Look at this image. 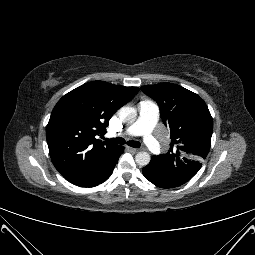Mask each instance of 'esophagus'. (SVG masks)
<instances>
[{
    "instance_id": "esophagus-1",
    "label": "esophagus",
    "mask_w": 255,
    "mask_h": 255,
    "mask_svg": "<svg viewBox=\"0 0 255 255\" xmlns=\"http://www.w3.org/2000/svg\"><path fill=\"white\" fill-rule=\"evenodd\" d=\"M127 150L130 151L131 153H137L139 149L132 148V147H127Z\"/></svg>"
}]
</instances>
